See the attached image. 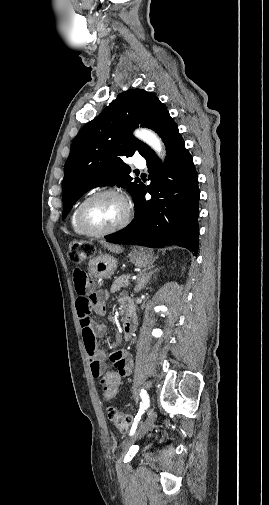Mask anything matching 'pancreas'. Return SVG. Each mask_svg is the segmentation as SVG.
Instances as JSON below:
<instances>
[{
	"mask_svg": "<svg viewBox=\"0 0 269 505\" xmlns=\"http://www.w3.org/2000/svg\"><path fill=\"white\" fill-rule=\"evenodd\" d=\"M129 278H130V275H123V276H121V277L117 278V279L113 282V284H112V286H111V289H110L111 293L118 292V291H120L122 288H124V287L126 286V283H127V282H128V280H129Z\"/></svg>",
	"mask_w": 269,
	"mask_h": 505,
	"instance_id": "obj_1",
	"label": "pancreas"
}]
</instances>
